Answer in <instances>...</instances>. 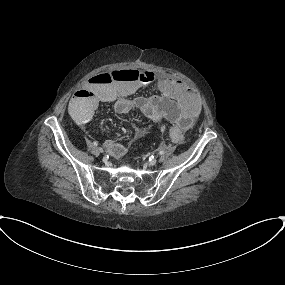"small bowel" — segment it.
Here are the masks:
<instances>
[{"mask_svg": "<svg viewBox=\"0 0 285 285\" xmlns=\"http://www.w3.org/2000/svg\"><path fill=\"white\" fill-rule=\"evenodd\" d=\"M127 69H115L109 72H101L94 75L85 87L77 90L68 103V111L72 118L80 125L87 124L93 117L100 102L111 103L118 114H127L133 110H139L145 117L155 123L164 119L170 121L173 126L169 130L174 143L185 141L184 132L188 130L200 114V105L192 91L183 80L173 76L162 75L156 77L150 71H141L152 74L151 80L128 82L115 78V74ZM106 76L110 83L104 82ZM153 83L157 94L151 96H131L141 87ZM142 137L141 132H134L132 141ZM104 147L114 157H121L127 152V145L116 143L106 139Z\"/></svg>", "mask_w": 285, "mask_h": 285, "instance_id": "small-bowel-1", "label": "small bowel"}]
</instances>
